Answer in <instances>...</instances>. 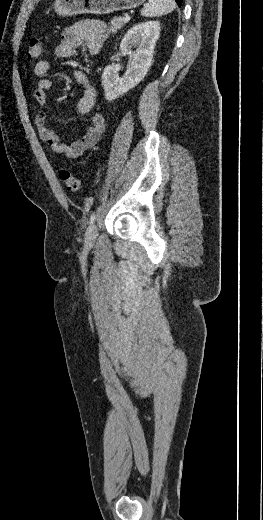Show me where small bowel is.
<instances>
[{"label":"small bowel","mask_w":263,"mask_h":520,"mask_svg":"<svg viewBox=\"0 0 263 520\" xmlns=\"http://www.w3.org/2000/svg\"><path fill=\"white\" fill-rule=\"evenodd\" d=\"M107 35V27L102 21L84 20L77 22L62 33L61 42L55 48V55L58 58H72L76 49L83 45L87 47L91 54L95 55L100 51ZM49 69L50 63L41 60L35 64L33 70L38 78L37 86L33 91V99L40 107L46 105L47 91L51 87V80L47 77ZM74 78L83 88L82 96L77 103V111L81 115H86L91 112L96 103L97 88L79 69L74 70ZM34 123L43 143L55 153L63 154L68 158H77L93 148L105 128L104 117L98 113L92 114L90 125L86 128L82 137L71 143H64L55 130L47 124V114L43 109L35 113Z\"/></svg>","instance_id":"1"}]
</instances>
